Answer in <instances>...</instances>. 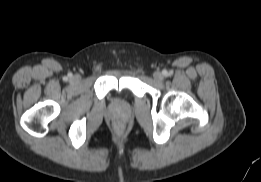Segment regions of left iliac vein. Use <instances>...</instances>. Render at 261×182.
<instances>
[{"label": "left iliac vein", "instance_id": "4c4485c4", "mask_svg": "<svg viewBox=\"0 0 261 182\" xmlns=\"http://www.w3.org/2000/svg\"><path fill=\"white\" fill-rule=\"evenodd\" d=\"M153 77L156 81H162L163 80V75L161 72L159 71H156L154 74H153Z\"/></svg>", "mask_w": 261, "mask_h": 182}]
</instances>
